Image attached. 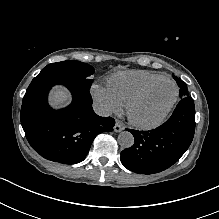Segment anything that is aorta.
<instances>
[{
  "instance_id": "762f6f07",
  "label": "aorta",
  "mask_w": 219,
  "mask_h": 219,
  "mask_svg": "<svg viewBox=\"0 0 219 219\" xmlns=\"http://www.w3.org/2000/svg\"><path fill=\"white\" fill-rule=\"evenodd\" d=\"M118 143L123 148H130L134 144V137L129 131H123L118 135Z\"/></svg>"
}]
</instances>
